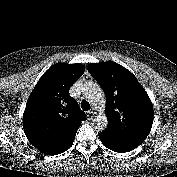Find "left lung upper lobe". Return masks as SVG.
Masks as SVG:
<instances>
[{"instance_id": "1", "label": "left lung upper lobe", "mask_w": 177, "mask_h": 177, "mask_svg": "<svg viewBox=\"0 0 177 177\" xmlns=\"http://www.w3.org/2000/svg\"><path fill=\"white\" fill-rule=\"evenodd\" d=\"M89 73L106 94L108 128L99 133L100 140L137 147L147 137L153 123V106L148 94L123 66L115 62L90 64Z\"/></svg>"}]
</instances>
